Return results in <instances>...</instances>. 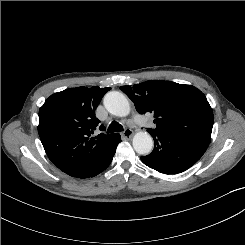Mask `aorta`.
I'll return each mask as SVG.
<instances>
[{
  "label": "aorta",
  "instance_id": "aorta-1",
  "mask_svg": "<svg viewBox=\"0 0 245 245\" xmlns=\"http://www.w3.org/2000/svg\"><path fill=\"white\" fill-rule=\"evenodd\" d=\"M104 106L112 115L118 117L127 116L130 112V105L124 94L117 91H110L104 97ZM133 148L140 155H147L152 151L153 140L148 132H138L133 137Z\"/></svg>",
  "mask_w": 245,
  "mask_h": 245
}]
</instances>
